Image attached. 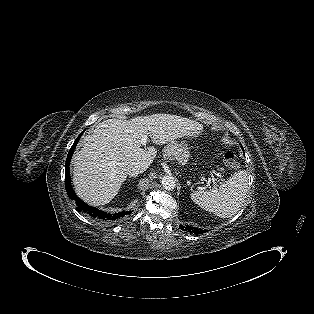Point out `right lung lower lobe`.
I'll return each mask as SVG.
<instances>
[{
  "label": "right lung lower lobe",
  "mask_w": 314,
  "mask_h": 314,
  "mask_svg": "<svg viewBox=\"0 0 314 314\" xmlns=\"http://www.w3.org/2000/svg\"><path fill=\"white\" fill-rule=\"evenodd\" d=\"M84 132V131H83ZM83 132L77 137V139L75 140L73 146L71 147V149L69 150V153L67 155V159H66V163H65V187H66V192L68 194V196L74 200L76 202V209L80 212H85L87 214H89L90 216H92L93 218H97L100 219L101 221L104 222H114L117 221L118 219H120L122 216L127 215L129 212L128 211H122V212H118L115 214H109L107 212H103L101 210H98L94 207L88 206L87 204H85L83 201H81L76 194L74 193L72 187H71V181H70V174H69V165H70V160L72 157V154L74 152V149L81 137V135L83 134Z\"/></svg>",
  "instance_id": "98d812e1"
}]
</instances>
